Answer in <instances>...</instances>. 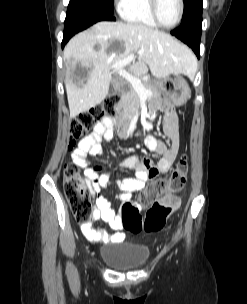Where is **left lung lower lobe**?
Segmentation results:
<instances>
[{"mask_svg": "<svg viewBox=\"0 0 247 304\" xmlns=\"http://www.w3.org/2000/svg\"><path fill=\"white\" fill-rule=\"evenodd\" d=\"M202 32V17H197L179 28L171 31V34L182 40L192 48L197 57H200V39Z\"/></svg>", "mask_w": 247, "mask_h": 304, "instance_id": "left-lung-lower-lobe-1", "label": "left lung lower lobe"}]
</instances>
